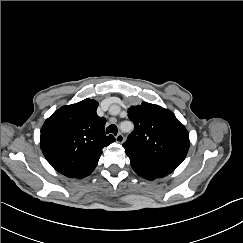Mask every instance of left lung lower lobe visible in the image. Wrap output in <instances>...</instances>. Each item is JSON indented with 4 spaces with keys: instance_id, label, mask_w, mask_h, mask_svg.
Returning <instances> with one entry per match:
<instances>
[{
    "instance_id": "1",
    "label": "left lung lower lobe",
    "mask_w": 243,
    "mask_h": 243,
    "mask_svg": "<svg viewBox=\"0 0 243 243\" xmlns=\"http://www.w3.org/2000/svg\"><path fill=\"white\" fill-rule=\"evenodd\" d=\"M128 157L130 159L133 170L138 175L148 180L164 177L173 172L176 168V166L168 164L141 160L132 155H128Z\"/></svg>"
}]
</instances>
